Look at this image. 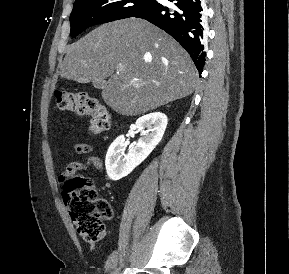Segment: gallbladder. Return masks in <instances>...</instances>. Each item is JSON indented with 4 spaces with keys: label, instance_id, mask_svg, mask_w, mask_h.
Returning <instances> with one entry per match:
<instances>
[{
    "label": "gallbladder",
    "instance_id": "gallbladder-1",
    "mask_svg": "<svg viewBox=\"0 0 289 274\" xmlns=\"http://www.w3.org/2000/svg\"><path fill=\"white\" fill-rule=\"evenodd\" d=\"M93 86L97 89H102L103 83L99 82V83H93Z\"/></svg>",
    "mask_w": 289,
    "mask_h": 274
}]
</instances>
